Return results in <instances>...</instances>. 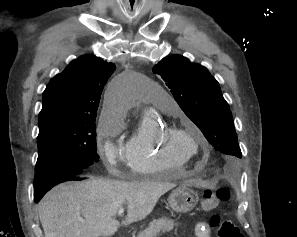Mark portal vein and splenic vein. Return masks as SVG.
Returning <instances> with one entry per match:
<instances>
[{"instance_id":"portal-vein-and-splenic-vein-1","label":"portal vein and splenic vein","mask_w":297,"mask_h":237,"mask_svg":"<svg viewBox=\"0 0 297 237\" xmlns=\"http://www.w3.org/2000/svg\"><path fill=\"white\" fill-rule=\"evenodd\" d=\"M123 212H124V209H123V208H120V209L118 210V215H122Z\"/></svg>"}]
</instances>
